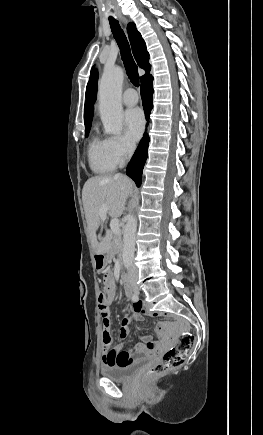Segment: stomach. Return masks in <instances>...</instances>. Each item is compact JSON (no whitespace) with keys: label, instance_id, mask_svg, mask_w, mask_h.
<instances>
[{"label":"stomach","instance_id":"stomach-1","mask_svg":"<svg viewBox=\"0 0 263 435\" xmlns=\"http://www.w3.org/2000/svg\"><path fill=\"white\" fill-rule=\"evenodd\" d=\"M109 259H110V255L109 254H106V253L97 254L95 256V266H96V268L99 271L103 270L106 267Z\"/></svg>","mask_w":263,"mask_h":435}]
</instances>
